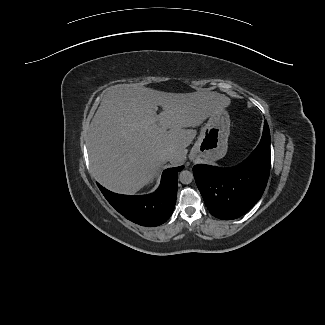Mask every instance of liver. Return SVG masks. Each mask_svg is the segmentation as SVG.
I'll use <instances>...</instances> for the list:
<instances>
[{"label": "liver", "mask_w": 325, "mask_h": 325, "mask_svg": "<svg viewBox=\"0 0 325 325\" xmlns=\"http://www.w3.org/2000/svg\"><path fill=\"white\" fill-rule=\"evenodd\" d=\"M230 102L217 92L167 93L140 84L110 87L88 133L94 177L116 193L139 191L156 175L163 151L172 152V165L183 163L186 147L196 136L195 130L187 128L197 126ZM156 105L162 107L159 115Z\"/></svg>", "instance_id": "obj_1"}]
</instances>
